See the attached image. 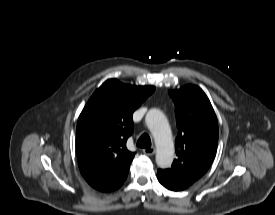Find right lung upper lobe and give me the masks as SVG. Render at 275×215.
Returning a JSON list of instances; mask_svg holds the SVG:
<instances>
[{"label": "right lung upper lobe", "instance_id": "obj_1", "mask_svg": "<svg viewBox=\"0 0 275 215\" xmlns=\"http://www.w3.org/2000/svg\"><path fill=\"white\" fill-rule=\"evenodd\" d=\"M153 86H132L109 79L82 110L76 129L79 169L95 189L125 179L134 153L126 148L133 112L153 93Z\"/></svg>", "mask_w": 275, "mask_h": 215}]
</instances>
